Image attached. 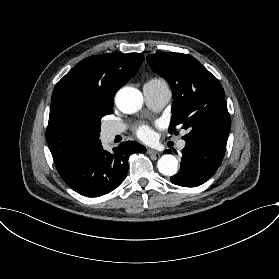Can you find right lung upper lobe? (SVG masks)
Instances as JSON below:
<instances>
[{
    "label": "right lung upper lobe",
    "mask_w": 279,
    "mask_h": 279,
    "mask_svg": "<svg viewBox=\"0 0 279 279\" xmlns=\"http://www.w3.org/2000/svg\"><path fill=\"white\" fill-rule=\"evenodd\" d=\"M143 60L140 53L91 56L56 84L46 139L58 172L74 165L101 143L100 125L93 112L113 103L117 90L136 75Z\"/></svg>",
    "instance_id": "right-lung-upper-lobe-1"
}]
</instances>
